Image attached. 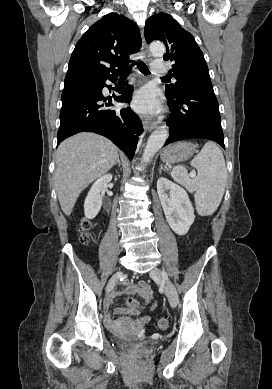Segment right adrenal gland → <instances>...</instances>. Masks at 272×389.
I'll return each mask as SVG.
<instances>
[{
  "label": "right adrenal gland",
  "mask_w": 272,
  "mask_h": 389,
  "mask_svg": "<svg viewBox=\"0 0 272 389\" xmlns=\"http://www.w3.org/2000/svg\"><path fill=\"white\" fill-rule=\"evenodd\" d=\"M116 164H118V166H119V167H120V165H121V162H120L119 156L117 157V161H116V163H115L114 165H116Z\"/></svg>",
  "instance_id": "1"
}]
</instances>
